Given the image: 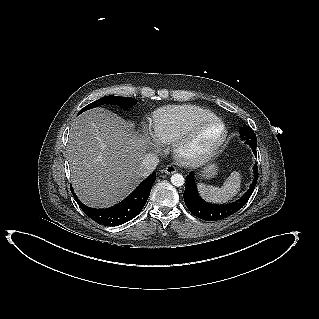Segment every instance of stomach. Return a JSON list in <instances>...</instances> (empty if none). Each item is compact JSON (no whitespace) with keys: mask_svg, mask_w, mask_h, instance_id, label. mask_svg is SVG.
<instances>
[{"mask_svg":"<svg viewBox=\"0 0 319 319\" xmlns=\"http://www.w3.org/2000/svg\"><path fill=\"white\" fill-rule=\"evenodd\" d=\"M216 173H217V168L215 165L212 164L205 167L201 175L204 178H212L216 175Z\"/></svg>","mask_w":319,"mask_h":319,"instance_id":"stomach-1","label":"stomach"}]
</instances>
